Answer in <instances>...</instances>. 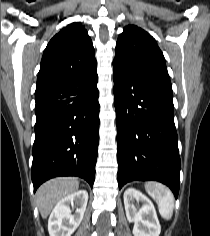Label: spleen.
<instances>
[{"label":"spleen","mask_w":210,"mask_h":236,"mask_svg":"<svg viewBox=\"0 0 210 236\" xmlns=\"http://www.w3.org/2000/svg\"><path fill=\"white\" fill-rule=\"evenodd\" d=\"M147 193L156 201L160 215L166 219H171L174 209V196L164 185L157 182L145 184Z\"/></svg>","instance_id":"spleen-1"}]
</instances>
